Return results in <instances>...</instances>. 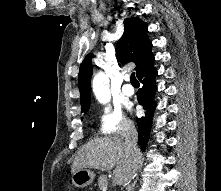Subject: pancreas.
Masks as SVG:
<instances>
[{
	"label": "pancreas",
	"instance_id": "cf45deb5",
	"mask_svg": "<svg viewBox=\"0 0 221 191\" xmlns=\"http://www.w3.org/2000/svg\"><path fill=\"white\" fill-rule=\"evenodd\" d=\"M108 184V179L106 175H100L98 178V187L100 190H103L105 186Z\"/></svg>",
	"mask_w": 221,
	"mask_h": 191
}]
</instances>
